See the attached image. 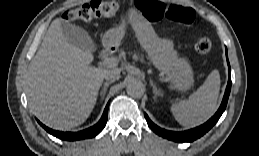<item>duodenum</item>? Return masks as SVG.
<instances>
[{
	"mask_svg": "<svg viewBox=\"0 0 259 156\" xmlns=\"http://www.w3.org/2000/svg\"><path fill=\"white\" fill-rule=\"evenodd\" d=\"M113 50H114L113 46L106 45L101 52V58H103V59L107 58L108 56H110L112 54Z\"/></svg>",
	"mask_w": 259,
	"mask_h": 156,
	"instance_id": "duodenum-1",
	"label": "duodenum"
}]
</instances>
